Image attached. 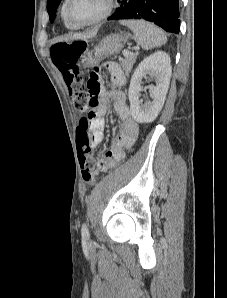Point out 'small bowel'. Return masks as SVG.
<instances>
[{"mask_svg": "<svg viewBox=\"0 0 227 298\" xmlns=\"http://www.w3.org/2000/svg\"><path fill=\"white\" fill-rule=\"evenodd\" d=\"M101 68H110L116 77L117 84L124 83L123 73L116 64L101 63ZM98 77H103L102 69H93L89 75V82H87V92H90L89 103H95L91 104V109L94 110H89V115H95V117L89 118L91 149L97 148L104 139L106 115L111 105L120 119L121 126L106 154L95 161L93 174L108 171L115 167L117 162H121L124 151L134 145L139 133V126L131 115L126 94L116 88L106 91Z\"/></svg>", "mask_w": 227, "mask_h": 298, "instance_id": "small-bowel-1", "label": "small bowel"}]
</instances>
